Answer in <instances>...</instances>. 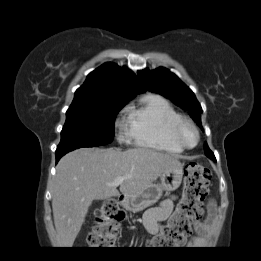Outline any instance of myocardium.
<instances>
[{"label": "myocardium", "mask_w": 261, "mask_h": 261, "mask_svg": "<svg viewBox=\"0 0 261 261\" xmlns=\"http://www.w3.org/2000/svg\"><path fill=\"white\" fill-rule=\"evenodd\" d=\"M192 131L195 136V141L193 144H189L186 140V131ZM174 136L176 141L185 149L195 148L200 140V135L197 127L193 122L188 119H181L174 130Z\"/></svg>", "instance_id": "1"}]
</instances>
